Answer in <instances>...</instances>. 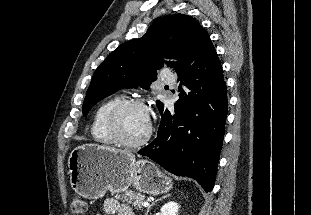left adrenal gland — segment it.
Here are the masks:
<instances>
[{
  "instance_id": "left-adrenal-gland-1",
  "label": "left adrenal gland",
  "mask_w": 311,
  "mask_h": 215,
  "mask_svg": "<svg viewBox=\"0 0 311 215\" xmlns=\"http://www.w3.org/2000/svg\"><path fill=\"white\" fill-rule=\"evenodd\" d=\"M169 196H170V195L167 194V195L163 196L162 198H159V199L155 200L154 202H152V204H150V205L148 206L145 215H148V212H149L150 208H151L153 205H155L156 202H158V201H160V200H162V199H165V198H167V197H169Z\"/></svg>"
}]
</instances>
